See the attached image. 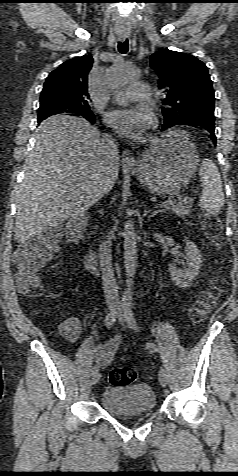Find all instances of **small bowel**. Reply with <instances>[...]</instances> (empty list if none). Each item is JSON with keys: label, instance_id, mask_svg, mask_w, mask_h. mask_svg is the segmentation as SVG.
Instances as JSON below:
<instances>
[{"label": "small bowel", "instance_id": "obj_1", "mask_svg": "<svg viewBox=\"0 0 238 476\" xmlns=\"http://www.w3.org/2000/svg\"><path fill=\"white\" fill-rule=\"evenodd\" d=\"M59 330L63 337L71 342H75L80 335V323L76 318H67L60 324ZM120 341L121 337L116 336L106 343L97 345L94 351V359L99 367L110 363Z\"/></svg>", "mask_w": 238, "mask_h": 476}]
</instances>
